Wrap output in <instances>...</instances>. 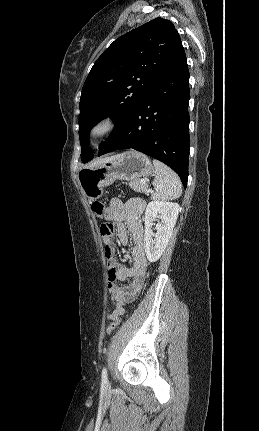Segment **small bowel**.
Instances as JSON below:
<instances>
[{
	"mask_svg": "<svg viewBox=\"0 0 259 431\" xmlns=\"http://www.w3.org/2000/svg\"><path fill=\"white\" fill-rule=\"evenodd\" d=\"M145 203L141 199L123 202L119 198L111 199L105 218L116 224L117 236L121 244L132 241V264L126 266L116 259L114 241L106 243L105 257L108 268V290L111 295L112 310L108 319L114 320L124 314V307L133 302L141 293L148 269V261L143 245L142 212ZM127 285L120 282L127 280Z\"/></svg>",
	"mask_w": 259,
	"mask_h": 431,
	"instance_id": "small-bowel-1",
	"label": "small bowel"
}]
</instances>
